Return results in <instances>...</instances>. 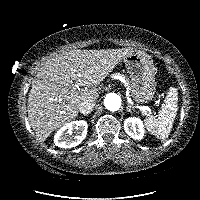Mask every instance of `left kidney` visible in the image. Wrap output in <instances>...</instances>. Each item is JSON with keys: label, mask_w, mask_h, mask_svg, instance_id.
<instances>
[{"label": "left kidney", "mask_w": 200, "mask_h": 200, "mask_svg": "<svg viewBox=\"0 0 200 200\" xmlns=\"http://www.w3.org/2000/svg\"><path fill=\"white\" fill-rule=\"evenodd\" d=\"M125 132L135 140H141L144 137L143 122L137 117H129L124 121Z\"/></svg>", "instance_id": "1"}]
</instances>
